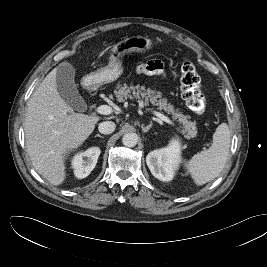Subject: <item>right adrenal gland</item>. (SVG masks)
Returning a JSON list of instances; mask_svg holds the SVG:
<instances>
[{"mask_svg":"<svg viewBox=\"0 0 267 267\" xmlns=\"http://www.w3.org/2000/svg\"><path fill=\"white\" fill-rule=\"evenodd\" d=\"M96 137L104 138V136L97 134Z\"/></svg>","mask_w":267,"mask_h":267,"instance_id":"1","label":"right adrenal gland"}]
</instances>
